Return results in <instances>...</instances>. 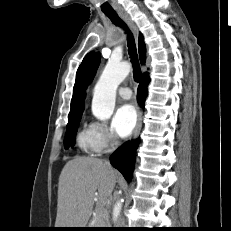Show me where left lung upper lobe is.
Wrapping results in <instances>:
<instances>
[{"label":"left lung upper lobe","instance_id":"5c2ea615","mask_svg":"<svg viewBox=\"0 0 231 231\" xmlns=\"http://www.w3.org/2000/svg\"><path fill=\"white\" fill-rule=\"evenodd\" d=\"M99 63H100V54L99 53H96L95 54V58L93 60V64H92V67H91V72H90V81L94 78L95 74H96V71H97V68L99 66Z\"/></svg>","mask_w":231,"mask_h":231}]
</instances>
